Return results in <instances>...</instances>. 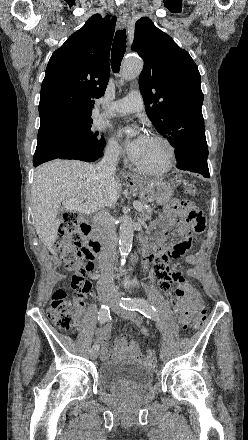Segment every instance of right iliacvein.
Here are the masks:
<instances>
[{
  "instance_id": "right-iliac-vein-1",
  "label": "right iliac vein",
  "mask_w": 248,
  "mask_h": 440,
  "mask_svg": "<svg viewBox=\"0 0 248 440\" xmlns=\"http://www.w3.org/2000/svg\"><path fill=\"white\" fill-rule=\"evenodd\" d=\"M105 300H106V302H107L109 305H111L112 302H113V300L110 299V298H105ZM90 357H91L92 359H96V358L98 357V350L93 349V350L90 352Z\"/></svg>"
}]
</instances>
